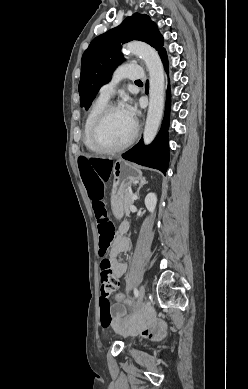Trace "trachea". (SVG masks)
<instances>
[{"instance_id": "obj_1", "label": "trachea", "mask_w": 248, "mask_h": 389, "mask_svg": "<svg viewBox=\"0 0 248 389\" xmlns=\"http://www.w3.org/2000/svg\"><path fill=\"white\" fill-rule=\"evenodd\" d=\"M136 82H141V80H136Z\"/></svg>"}]
</instances>
